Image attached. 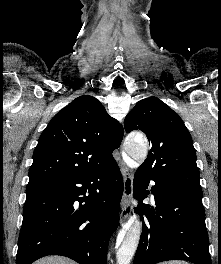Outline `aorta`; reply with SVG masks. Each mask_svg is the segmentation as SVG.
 Masks as SVG:
<instances>
[{
  "label": "aorta",
  "mask_w": 221,
  "mask_h": 264,
  "mask_svg": "<svg viewBox=\"0 0 221 264\" xmlns=\"http://www.w3.org/2000/svg\"><path fill=\"white\" fill-rule=\"evenodd\" d=\"M124 149L135 161L143 162L148 153V142L143 136L131 135L127 138ZM142 225L139 217L132 218L117 237V262L130 264L139 244Z\"/></svg>",
  "instance_id": "1"
}]
</instances>
